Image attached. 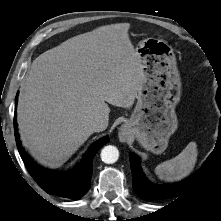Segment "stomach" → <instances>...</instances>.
Listing matches in <instances>:
<instances>
[{"label": "stomach", "instance_id": "1", "mask_svg": "<svg viewBox=\"0 0 221 221\" xmlns=\"http://www.w3.org/2000/svg\"><path fill=\"white\" fill-rule=\"evenodd\" d=\"M136 51L144 80L121 133L136 138L144 149L161 154L178 126L175 108L181 98V80L176 58L172 47L156 38L139 41Z\"/></svg>", "mask_w": 221, "mask_h": 221}]
</instances>
